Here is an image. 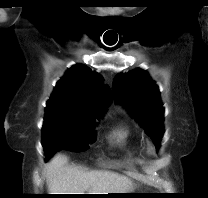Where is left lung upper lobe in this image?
Returning <instances> with one entry per match:
<instances>
[{
    "label": "left lung upper lobe",
    "mask_w": 208,
    "mask_h": 198,
    "mask_svg": "<svg viewBox=\"0 0 208 198\" xmlns=\"http://www.w3.org/2000/svg\"><path fill=\"white\" fill-rule=\"evenodd\" d=\"M113 89L121 103L153 140L156 148H159L164 133V108L159 88L148 73L136 69L117 75L113 81Z\"/></svg>",
    "instance_id": "1"
}]
</instances>
